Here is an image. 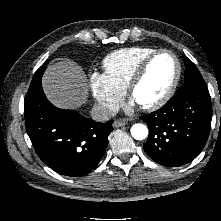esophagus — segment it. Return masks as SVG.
Wrapping results in <instances>:
<instances>
[{"instance_id":"esophagus-1","label":"esophagus","mask_w":221,"mask_h":221,"mask_svg":"<svg viewBox=\"0 0 221 221\" xmlns=\"http://www.w3.org/2000/svg\"><path fill=\"white\" fill-rule=\"evenodd\" d=\"M126 124H127V122L124 121V120H115L113 122V127L118 128V127H121V126H125Z\"/></svg>"}]
</instances>
